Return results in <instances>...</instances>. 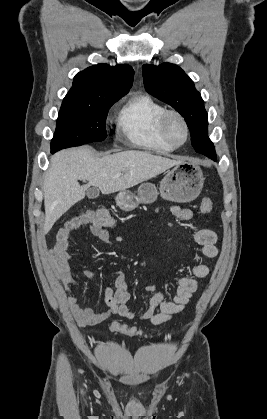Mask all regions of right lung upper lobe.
<instances>
[{
	"label": "right lung upper lobe",
	"instance_id": "obj_1",
	"mask_svg": "<svg viewBox=\"0 0 267 419\" xmlns=\"http://www.w3.org/2000/svg\"><path fill=\"white\" fill-rule=\"evenodd\" d=\"M134 71L128 65L97 64L79 72L64 99L88 100L123 96L132 86Z\"/></svg>",
	"mask_w": 267,
	"mask_h": 419
}]
</instances>
